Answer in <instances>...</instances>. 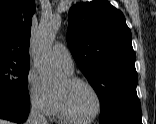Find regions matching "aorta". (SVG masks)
<instances>
[{
    "label": "aorta",
    "mask_w": 156,
    "mask_h": 124,
    "mask_svg": "<svg viewBox=\"0 0 156 124\" xmlns=\"http://www.w3.org/2000/svg\"><path fill=\"white\" fill-rule=\"evenodd\" d=\"M60 25L59 17L41 20L33 43L32 57L43 85L55 82L62 74L52 56V43Z\"/></svg>",
    "instance_id": "1"
}]
</instances>
